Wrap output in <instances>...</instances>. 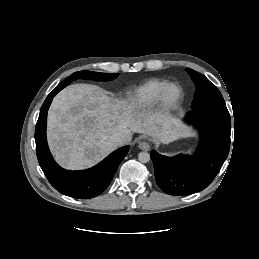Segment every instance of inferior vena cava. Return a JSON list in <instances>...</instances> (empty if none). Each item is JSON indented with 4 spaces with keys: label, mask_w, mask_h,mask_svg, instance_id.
Segmentation results:
<instances>
[{
    "label": "inferior vena cava",
    "mask_w": 259,
    "mask_h": 259,
    "mask_svg": "<svg viewBox=\"0 0 259 259\" xmlns=\"http://www.w3.org/2000/svg\"><path fill=\"white\" fill-rule=\"evenodd\" d=\"M109 140L115 146H121L126 143L127 138L121 133H116L112 135Z\"/></svg>",
    "instance_id": "inferior-vena-cava-1"
}]
</instances>
